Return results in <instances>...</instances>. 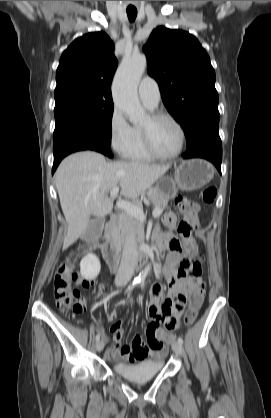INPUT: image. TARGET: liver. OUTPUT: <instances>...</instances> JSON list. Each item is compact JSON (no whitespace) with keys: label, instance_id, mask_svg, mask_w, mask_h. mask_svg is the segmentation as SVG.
Returning <instances> with one entry per match:
<instances>
[{"label":"liver","instance_id":"obj_1","mask_svg":"<svg viewBox=\"0 0 271 418\" xmlns=\"http://www.w3.org/2000/svg\"><path fill=\"white\" fill-rule=\"evenodd\" d=\"M170 168L135 161L107 162L103 155L84 151L65 158L55 172V183L68 232L63 249L87 229L92 216L111 213L113 201L107 193L121 187V196L136 199Z\"/></svg>","mask_w":271,"mask_h":418}]
</instances>
